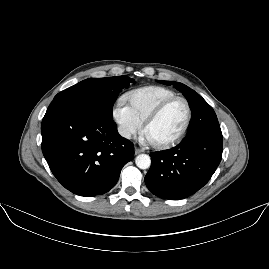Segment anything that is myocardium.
Returning <instances> with one entry per match:
<instances>
[{"label":"myocardium","mask_w":269,"mask_h":269,"mask_svg":"<svg viewBox=\"0 0 269 269\" xmlns=\"http://www.w3.org/2000/svg\"><path fill=\"white\" fill-rule=\"evenodd\" d=\"M176 102H183L186 106V121L185 124L182 128V130L180 131V133L175 136L173 139L164 142V143H153L151 141L148 140L146 133L148 128L151 126L152 123H154L166 110L167 108H169L171 105H173ZM191 119H192V109H191V105L189 103V101L184 98V97H174L172 99H169L165 102H163L161 105H159L155 110H153L146 118L145 122H144V126H143V136L145 138V140L147 141V143L152 146L153 148L157 149V150H166L169 149L173 146H175L176 144H178L187 134L189 128H190V124H191Z\"/></svg>","instance_id":"myocardium-1"}]
</instances>
